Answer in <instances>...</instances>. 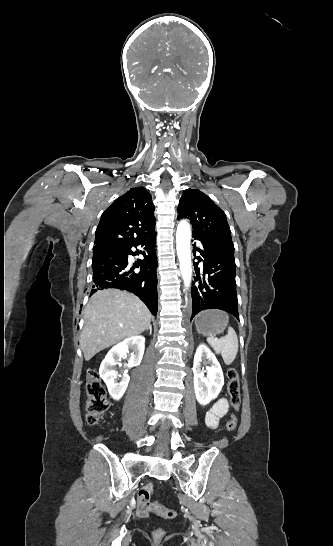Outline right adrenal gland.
Segmentation results:
<instances>
[{"mask_svg": "<svg viewBox=\"0 0 333 546\" xmlns=\"http://www.w3.org/2000/svg\"><path fill=\"white\" fill-rule=\"evenodd\" d=\"M146 330H147V331L149 330V333H150V335H151V334H152V325L150 324Z\"/></svg>", "mask_w": 333, "mask_h": 546, "instance_id": "obj_1", "label": "right adrenal gland"}]
</instances>
